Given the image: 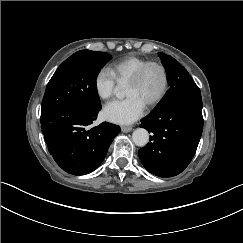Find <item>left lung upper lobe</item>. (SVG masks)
Here are the masks:
<instances>
[{
    "instance_id": "1",
    "label": "left lung upper lobe",
    "mask_w": 243,
    "mask_h": 243,
    "mask_svg": "<svg viewBox=\"0 0 243 243\" xmlns=\"http://www.w3.org/2000/svg\"><path fill=\"white\" fill-rule=\"evenodd\" d=\"M159 57L166 69L167 81L170 88L154 110L161 108L167 101L177 95L201 94L199 87L195 84L190 74L179 62L164 53H159Z\"/></svg>"
}]
</instances>
